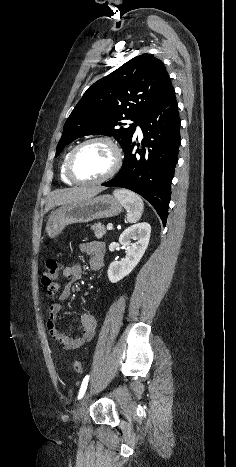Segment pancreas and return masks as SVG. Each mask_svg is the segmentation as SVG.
Listing matches in <instances>:
<instances>
[{"instance_id": "obj_1", "label": "pancreas", "mask_w": 236, "mask_h": 467, "mask_svg": "<svg viewBox=\"0 0 236 467\" xmlns=\"http://www.w3.org/2000/svg\"><path fill=\"white\" fill-rule=\"evenodd\" d=\"M92 230L95 233V237L100 239L106 234L105 226L102 223H97L92 226Z\"/></svg>"}]
</instances>
